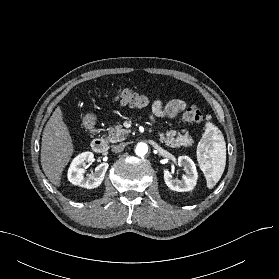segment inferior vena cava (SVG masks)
Instances as JSON below:
<instances>
[{
  "label": "inferior vena cava",
  "instance_id": "1",
  "mask_svg": "<svg viewBox=\"0 0 279 279\" xmlns=\"http://www.w3.org/2000/svg\"><path fill=\"white\" fill-rule=\"evenodd\" d=\"M125 146L126 145L124 143L114 145L113 148H112V151L115 152V153H120L124 150Z\"/></svg>",
  "mask_w": 279,
  "mask_h": 279
}]
</instances>
